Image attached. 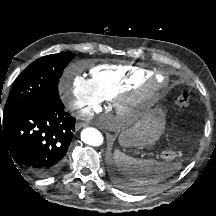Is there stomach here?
<instances>
[{
	"label": "stomach",
	"instance_id": "0dacf381",
	"mask_svg": "<svg viewBox=\"0 0 216 216\" xmlns=\"http://www.w3.org/2000/svg\"><path fill=\"white\" fill-rule=\"evenodd\" d=\"M165 113L156 107L144 112L140 119L120 135L124 146H144L154 144L165 129Z\"/></svg>",
	"mask_w": 216,
	"mask_h": 216
}]
</instances>
